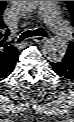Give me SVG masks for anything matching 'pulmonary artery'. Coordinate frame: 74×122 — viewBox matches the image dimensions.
<instances>
[{
    "instance_id": "pulmonary-artery-1",
    "label": "pulmonary artery",
    "mask_w": 74,
    "mask_h": 122,
    "mask_svg": "<svg viewBox=\"0 0 74 122\" xmlns=\"http://www.w3.org/2000/svg\"><path fill=\"white\" fill-rule=\"evenodd\" d=\"M40 16L50 26L58 39L65 40L70 37L71 29L60 15L55 1H41Z\"/></svg>"
}]
</instances>
